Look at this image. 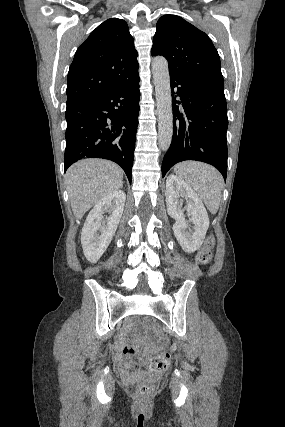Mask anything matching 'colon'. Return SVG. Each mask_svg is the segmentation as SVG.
I'll return each instance as SVG.
<instances>
[{
  "instance_id": "colon-1",
  "label": "colon",
  "mask_w": 285,
  "mask_h": 427,
  "mask_svg": "<svg viewBox=\"0 0 285 427\" xmlns=\"http://www.w3.org/2000/svg\"><path fill=\"white\" fill-rule=\"evenodd\" d=\"M215 240L213 236L207 237L202 247L199 249L197 254V261L200 264H209L212 261V249L214 247ZM125 355H134L135 350L132 347L126 346L123 348ZM170 365V357L167 353H161L148 361L147 370L149 376L146 377L143 383H133L136 393L143 399L151 396L157 388V382L153 377V374L161 373L168 369ZM140 366V364H138Z\"/></svg>"
}]
</instances>
